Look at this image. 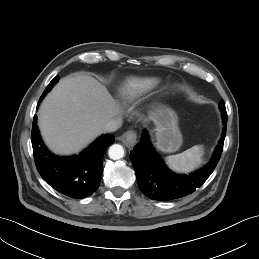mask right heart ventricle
I'll return each instance as SVG.
<instances>
[{
  "label": "right heart ventricle",
  "instance_id": "obj_1",
  "mask_svg": "<svg viewBox=\"0 0 259 259\" xmlns=\"http://www.w3.org/2000/svg\"><path fill=\"white\" fill-rule=\"evenodd\" d=\"M157 84L158 81L155 79L134 78L129 81L123 95L126 98L136 96L146 90L153 89Z\"/></svg>",
  "mask_w": 259,
  "mask_h": 259
}]
</instances>
